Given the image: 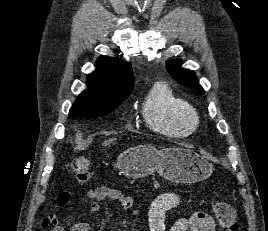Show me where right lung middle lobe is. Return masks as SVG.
<instances>
[{
	"label": "right lung middle lobe",
	"instance_id": "right-lung-middle-lobe-1",
	"mask_svg": "<svg viewBox=\"0 0 268 231\" xmlns=\"http://www.w3.org/2000/svg\"><path fill=\"white\" fill-rule=\"evenodd\" d=\"M123 101L116 103H94L78 104L74 103L70 109L69 118H94L109 114L116 109Z\"/></svg>",
	"mask_w": 268,
	"mask_h": 231
}]
</instances>
